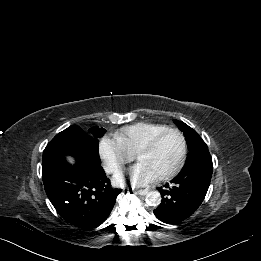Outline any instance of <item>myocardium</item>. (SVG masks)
Returning a JSON list of instances; mask_svg holds the SVG:
<instances>
[{"label":"myocardium","mask_w":261,"mask_h":261,"mask_svg":"<svg viewBox=\"0 0 261 261\" xmlns=\"http://www.w3.org/2000/svg\"><path fill=\"white\" fill-rule=\"evenodd\" d=\"M168 133H175L179 136L180 141H181V154L180 157L176 163V165L167 173L162 174L160 176H157L156 178L158 180H168L172 177H174L183 167L185 160H186V155H187V142L186 139L183 135V133L176 129V128H167L156 135H154L145 145H143L136 153H135V158L138 159L139 156L148 153L154 149L156 146L157 142L166 134Z\"/></svg>","instance_id":"1"}]
</instances>
